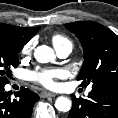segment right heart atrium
I'll list each match as a JSON object with an SVG mask.
<instances>
[{
    "instance_id": "1",
    "label": "right heart atrium",
    "mask_w": 118,
    "mask_h": 118,
    "mask_svg": "<svg viewBox=\"0 0 118 118\" xmlns=\"http://www.w3.org/2000/svg\"><path fill=\"white\" fill-rule=\"evenodd\" d=\"M35 45H36L35 39H30L29 41H27L21 49L22 56H25V57L30 56L35 48Z\"/></svg>"
}]
</instances>
